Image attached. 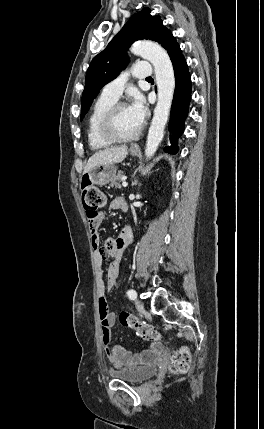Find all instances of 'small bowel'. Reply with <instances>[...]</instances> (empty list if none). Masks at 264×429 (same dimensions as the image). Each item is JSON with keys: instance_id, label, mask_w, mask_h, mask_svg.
Returning a JSON list of instances; mask_svg holds the SVG:
<instances>
[{"instance_id": "obj_1", "label": "small bowel", "mask_w": 264, "mask_h": 429, "mask_svg": "<svg viewBox=\"0 0 264 429\" xmlns=\"http://www.w3.org/2000/svg\"><path fill=\"white\" fill-rule=\"evenodd\" d=\"M124 202L125 200L123 198L117 197L111 201L110 208L119 210ZM103 220V214L99 215L95 220H89L94 260L97 264L96 278L102 340L106 355L116 368H134L139 365L154 362L162 352V345L160 343H152L147 349L139 353H132L119 345L112 344L111 342V329L115 325L116 316L108 308L105 290L106 288L112 289L117 283L123 251L133 241V230L130 227H124L117 237L107 238L103 246H101L99 227ZM106 257H112L113 260L108 266L105 283L101 264Z\"/></svg>"}]
</instances>
